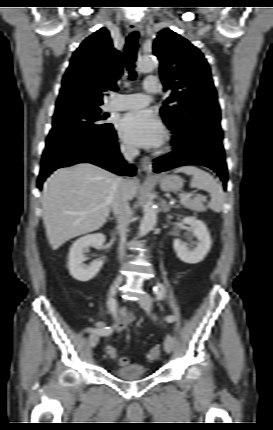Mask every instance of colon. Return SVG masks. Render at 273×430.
<instances>
[{"instance_id": "colon-1", "label": "colon", "mask_w": 273, "mask_h": 430, "mask_svg": "<svg viewBox=\"0 0 273 430\" xmlns=\"http://www.w3.org/2000/svg\"><path fill=\"white\" fill-rule=\"evenodd\" d=\"M106 352L112 359L115 360V362L119 366H125L126 364H128V359L124 356L118 355L116 349L113 346L106 347ZM160 353H161L160 347L154 346L151 349H149L146 356L150 360H156L160 356Z\"/></svg>"}]
</instances>
